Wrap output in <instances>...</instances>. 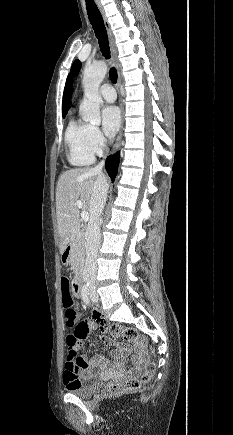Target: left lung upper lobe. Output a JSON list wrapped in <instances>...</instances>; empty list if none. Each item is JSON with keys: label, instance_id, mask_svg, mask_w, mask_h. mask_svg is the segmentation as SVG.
Here are the masks:
<instances>
[{"label": "left lung upper lobe", "instance_id": "obj_1", "mask_svg": "<svg viewBox=\"0 0 233 435\" xmlns=\"http://www.w3.org/2000/svg\"><path fill=\"white\" fill-rule=\"evenodd\" d=\"M80 67H81V64H80L79 60H76V61L73 63L72 67H71L70 74H71L72 76H74L75 74H77L78 71H79V69H80Z\"/></svg>", "mask_w": 233, "mask_h": 435}]
</instances>
